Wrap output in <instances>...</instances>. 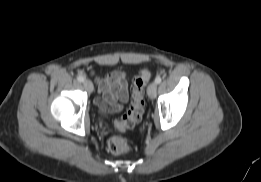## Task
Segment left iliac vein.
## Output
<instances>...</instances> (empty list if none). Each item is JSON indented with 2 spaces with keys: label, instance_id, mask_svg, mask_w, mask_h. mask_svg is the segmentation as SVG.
Listing matches in <instances>:
<instances>
[{
  "label": "left iliac vein",
  "instance_id": "1",
  "mask_svg": "<svg viewBox=\"0 0 261 182\" xmlns=\"http://www.w3.org/2000/svg\"><path fill=\"white\" fill-rule=\"evenodd\" d=\"M156 92H157V84L155 82L150 83L147 89L148 96L151 99H154L156 97Z\"/></svg>",
  "mask_w": 261,
  "mask_h": 182
}]
</instances>
